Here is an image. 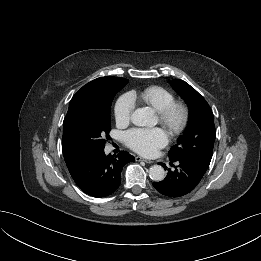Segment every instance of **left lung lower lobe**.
Here are the masks:
<instances>
[{
	"mask_svg": "<svg viewBox=\"0 0 261 261\" xmlns=\"http://www.w3.org/2000/svg\"><path fill=\"white\" fill-rule=\"evenodd\" d=\"M177 162L175 170H168V174L163 181L153 182L155 189L162 195L168 197H182L190 193L201 181L202 174L196 167L184 160H171L170 165ZM161 164L165 169L166 166Z\"/></svg>",
	"mask_w": 261,
	"mask_h": 261,
	"instance_id": "0a47b994",
	"label": "left lung lower lobe"
}]
</instances>
